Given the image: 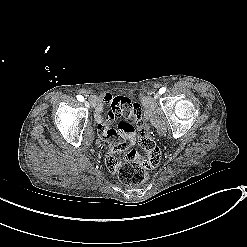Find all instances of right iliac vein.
Segmentation results:
<instances>
[{
	"label": "right iliac vein",
	"mask_w": 247,
	"mask_h": 247,
	"mask_svg": "<svg viewBox=\"0 0 247 247\" xmlns=\"http://www.w3.org/2000/svg\"><path fill=\"white\" fill-rule=\"evenodd\" d=\"M84 104L87 108H90V103L88 101H85Z\"/></svg>",
	"instance_id": "63e3f726"
}]
</instances>
